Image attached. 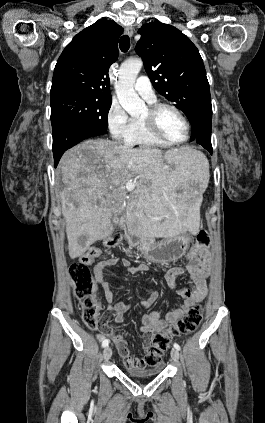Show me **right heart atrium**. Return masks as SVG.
Here are the masks:
<instances>
[{
	"mask_svg": "<svg viewBox=\"0 0 265 423\" xmlns=\"http://www.w3.org/2000/svg\"><path fill=\"white\" fill-rule=\"evenodd\" d=\"M106 122L113 139L126 141L132 119L118 102H111L106 114Z\"/></svg>",
	"mask_w": 265,
	"mask_h": 423,
	"instance_id": "right-heart-atrium-1",
	"label": "right heart atrium"
}]
</instances>
